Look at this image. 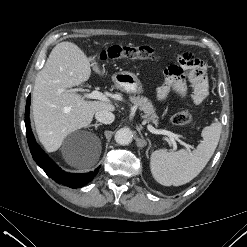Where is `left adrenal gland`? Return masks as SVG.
Listing matches in <instances>:
<instances>
[{
    "label": "left adrenal gland",
    "mask_w": 247,
    "mask_h": 247,
    "mask_svg": "<svg viewBox=\"0 0 247 247\" xmlns=\"http://www.w3.org/2000/svg\"><path fill=\"white\" fill-rule=\"evenodd\" d=\"M147 141H148L149 146H148V148H147V150H146V156H147V158H148V151H149V149L151 148V141H150L149 138H147Z\"/></svg>",
    "instance_id": "1"
}]
</instances>
